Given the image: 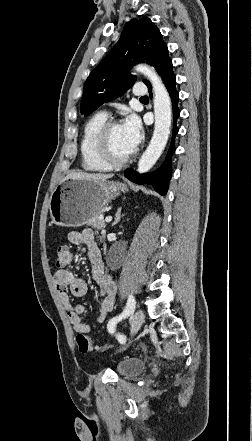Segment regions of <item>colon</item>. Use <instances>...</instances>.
<instances>
[{
	"mask_svg": "<svg viewBox=\"0 0 252 441\" xmlns=\"http://www.w3.org/2000/svg\"><path fill=\"white\" fill-rule=\"evenodd\" d=\"M71 262V252L66 245H60L57 248V266L65 267ZM76 342L79 350L83 353L91 350V342L88 335L85 332H78L76 336Z\"/></svg>",
	"mask_w": 252,
	"mask_h": 441,
	"instance_id": "obj_1",
	"label": "colon"
}]
</instances>
